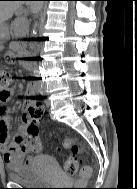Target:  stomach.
<instances>
[{
    "label": "stomach",
    "instance_id": "0dacf381",
    "mask_svg": "<svg viewBox=\"0 0 137 189\" xmlns=\"http://www.w3.org/2000/svg\"><path fill=\"white\" fill-rule=\"evenodd\" d=\"M10 33L6 25L0 26V40L9 39Z\"/></svg>",
    "mask_w": 137,
    "mask_h": 189
}]
</instances>
